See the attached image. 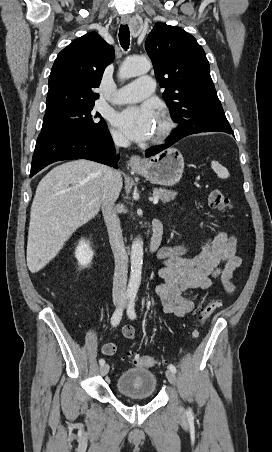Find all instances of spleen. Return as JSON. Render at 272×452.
<instances>
[{
  "mask_svg": "<svg viewBox=\"0 0 272 452\" xmlns=\"http://www.w3.org/2000/svg\"><path fill=\"white\" fill-rule=\"evenodd\" d=\"M211 166L219 178L225 179V178L229 177L228 170L225 167H223L221 164H219L218 162L212 161Z\"/></svg>",
  "mask_w": 272,
  "mask_h": 452,
  "instance_id": "3e777b00",
  "label": "spleen"
}]
</instances>
